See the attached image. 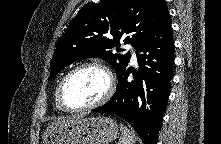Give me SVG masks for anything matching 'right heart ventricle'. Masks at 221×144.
<instances>
[{"label":"right heart ventricle","mask_w":221,"mask_h":144,"mask_svg":"<svg viewBox=\"0 0 221 144\" xmlns=\"http://www.w3.org/2000/svg\"><path fill=\"white\" fill-rule=\"evenodd\" d=\"M58 87H59V85L57 86V88H56V90H55V94H54V96H55V105H56V107H57L58 110H62V109L60 108L59 104H58V101H57Z\"/></svg>","instance_id":"1"}]
</instances>
